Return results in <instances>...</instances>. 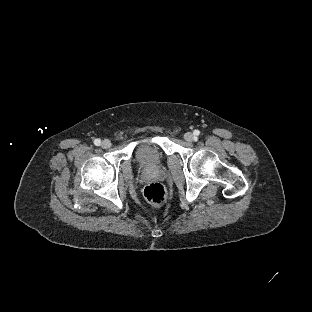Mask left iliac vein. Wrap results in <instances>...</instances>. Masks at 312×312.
<instances>
[{"mask_svg":"<svg viewBox=\"0 0 312 312\" xmlns=\"http://www.w3.org/2000/svg\"><path fill=\"white\" fill-rule=\"evenodd\" d=\"M184 139H185L187 142H192V141H194V135H193L191 132H187V133H185V135H184Z\"/></svg>","mask_w":312,"mask_h":312,"instance_id":"1","label":"left iliac vein"}]
</instances>
